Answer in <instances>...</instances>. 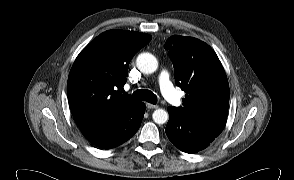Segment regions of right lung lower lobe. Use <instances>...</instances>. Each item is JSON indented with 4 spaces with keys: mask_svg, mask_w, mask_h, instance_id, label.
I'll return each instance as SVG.
<instances>
[{
    "mask_svg": "<svg viewBox=\"0 0 294 180\" xmlns=\"http://www.w3.org/2000/svg\"><path fill=\"white\" fill-rule=\"evenodd\" d=\"M145 105L133 101L111 119L79 127L82 134L100 148H113L130 139L139 129Z\"/></svg>",
    "mask_w": 294,
    "mask_h": 180,
    "instance_id": "98d812e1",
    "label": "right lung lower lobe"
}]
</instances>
